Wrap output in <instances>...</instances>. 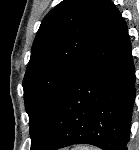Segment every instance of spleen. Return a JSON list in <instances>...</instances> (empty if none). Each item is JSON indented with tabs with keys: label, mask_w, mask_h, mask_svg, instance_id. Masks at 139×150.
I'll return each mask as SVG.
<instances>
[{
	"label": "spleen",
	"mask_w": 139,
	"mask_h": 150,
	"mask_svg": "<svg viewBox=\"0 0 139 150\" xmlns=\"http://www.w3.org/2000/svg\"><path fill=\"white\" fill-rule=\"evenodd\" d=\"M75 150H97V149L89 148V147H81V148H76Z\"/></svg>",
	"instance_id": "obj_1"
}]
</instances>
